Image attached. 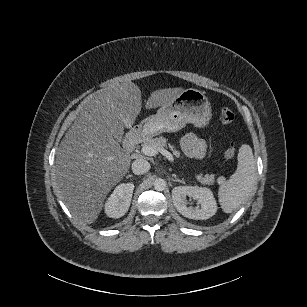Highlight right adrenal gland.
<instances>
[{
	"label": "right adrenal gland",
	"mask_w": 307,
	"mask_h": 307,
	"mask_svg": "<svg viewBox=\"0 0 307 307\" xmlns=\"http://www.w3.org/2000/svg\"><path fill=\"white\" fill-rule=\"evenodd\" d=\"M132 177V175L131 174H129V175H127L126 176V178L128 179V178H131Z\"/></svg>",
	"instance_id": "obj_1"
}]
</instances>
